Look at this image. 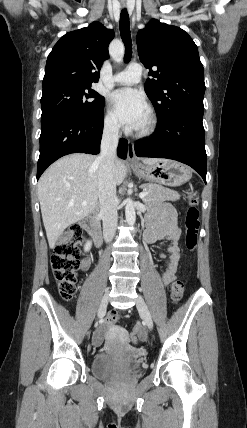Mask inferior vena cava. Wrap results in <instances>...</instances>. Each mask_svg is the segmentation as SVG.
Instances as JSON below:
<instances>
[{
  "label": "inferior vena cava",
  "instance_id": "602c4592",
  "mask_svg": "<svg viewBox=\"0 0 247 428\" xmlns=\"http://www.w3.org/2000/svg\"><path fill=\"white\" fill-rule=\"evenodd\" d=\"M119 125L116 122L104 127L100 154L96 158L99 164L98 184L100 216L103 220V236L109 242L116 233L117 227V204L116 182L114 167L116 149L118 146Z\"/></svg>",
  "mask_w": 247,
  "mask_h": 428
}]
</instances>
